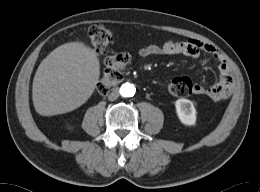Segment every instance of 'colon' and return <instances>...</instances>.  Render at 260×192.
<instances>
[{"mask_svg": "<svg viewBox=\"0 0 260 192\" xmlns=\"http://www.w3.org/2000/svg\"><path fill=\"white\" fill-rule=\"evenodd\" d=\"M88 38L92 48L102 54L111 43L113 35L109 29L95 24L90 27ZM128 63L129 56L125 53L111 55L105 60V71L97 84V92L100 95H106L122 79ZM164 90L174 96H187L193 93V83L186 77L175 78L165 85Z\"/></svg>", "mask_w": 260, "mask_h": 192, "instance_id": "colon-1", "label": "colon"}]
</instances>
